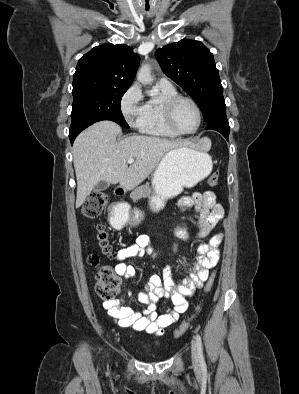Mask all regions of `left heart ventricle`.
Returning a JSON list of instances; mask_svg holds the SVG:
<instances>
[{"label":"left heart ventricle","mask_w":299,"mask_h":394,"mask_svg":"<svg viewBox=\"0 0 299 394\" xmlns=\"http://www.w3.org/2000/svg\"><path fill=\"white\" fill-rule=\"evenodd\" d=\"M174 121L178 129L190 132L196 128L198 116L189 102L181 101L175 108Z\"/></svg>","instance_id":"1"}]
</instances>
